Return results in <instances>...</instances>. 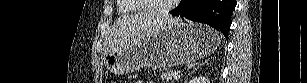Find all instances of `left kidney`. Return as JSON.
Here are the masks:
<instances>
[{
    "label": "left kidney",
    "mask_w": 307,
    "mask_h": 83,
    "mask_svg": "<svg viewBox=\"0 0 307 83\" xmlns=\"http://www.w3.org/2000/svg\"><path fill=\"white\" fill-rule=\"evenodd\" d=\"M189 83H210V80L206 77H196V78H193L192 80H190Z\"/></svg>",
    "instance_id": "1"
}]
</instances>
